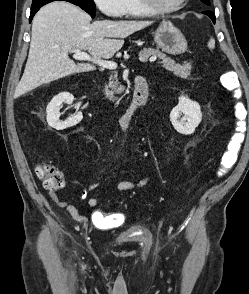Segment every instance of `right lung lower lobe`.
<instances>
[{"label": "right lung lower lobe", "instance_id": "obj_1", "mask_svg": "<svg viewBox=\"0 0 249 294\" xmlns=\"http://www.w3.org/2000/svg\"><path fill=\"white\" fill-rule=\"evenodd\" d=\"M40 7H41V6L31 7V13H30L29 22H31L33 16H34L35 13L40 9Z\"/></svg>", "mask_w": 249, "mask_h": 294}]
</instances>
